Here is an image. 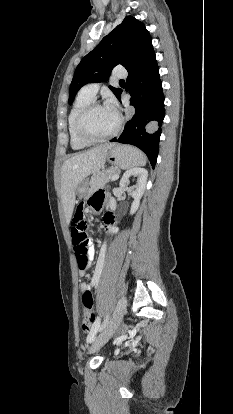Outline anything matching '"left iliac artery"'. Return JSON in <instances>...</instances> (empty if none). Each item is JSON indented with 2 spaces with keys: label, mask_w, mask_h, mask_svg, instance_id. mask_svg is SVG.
Returning <instances> with one entry per match:
<instances>
[{
  "label": "left iliac artery",
  "mask_w": 233,
  "mask_h": 414,
  "mask_svg": "<svg viewBox=\"0 0 233 414\" xmlns=\"http://www.w3.org/2000/svg\"><path fill=\"white\" fill-rule=\"evenodd\" d=\"M108 321H109V315L106 316L104 322L102 323V325H100V318H98L97 321H96V324H95V327L97 328L96 332L98 330L99 331L103 330L106 327V325L108 324Z\"/></svg>",
  "instance_id": "1"
}]
</instances>
